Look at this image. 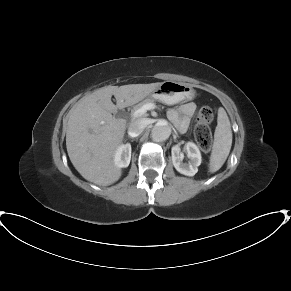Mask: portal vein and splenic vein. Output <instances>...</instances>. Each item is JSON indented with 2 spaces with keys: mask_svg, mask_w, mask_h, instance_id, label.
Segmentation results:
<instances>
[{
  "mask_svg": "<svg viewBox=\"0 0 291 291\" xmlns=\"http://www.w3.org/2000/svg\"><path fill=\"white\" fill-rule=\"evenodd\" d=\"M155 105L153 103H148L140 107L139 109L135 110L132 113V116L137 118L143 116L148 110L154 109Z\"/></svg>",
  "mask_w": 291,
  "mask_h": 291,
  "instance_id": "18ae733b",
  "label": "portal vein and splenic vein"
}]
</instances>
